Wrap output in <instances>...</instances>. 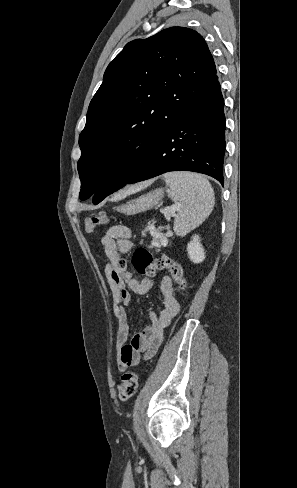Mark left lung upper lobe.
Instances as JSON below:
<instances>
[{
    "instance_id": "1",
    "label": "left lung upper lobe",
    "mask_w": 297,
    "mask_h": 488,
    "mask_svg": "<svg viewBox=\"0 0 297 488\" xmlns=\"http://www.w3.org/2000/svg\"><path fill=\"white\" fill-rule=\"evenodd\" d=\"M196 31L171 27L127 43L108 65L79 136V198L94 204L138 172L172 127L217 85Z\"/></svg>"
}]
</instances>
